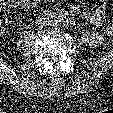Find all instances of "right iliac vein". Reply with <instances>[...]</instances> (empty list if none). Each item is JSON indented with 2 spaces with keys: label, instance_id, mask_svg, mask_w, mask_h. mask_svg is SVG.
<instances>
[{
  "label": "right iliac vein",
  "instance_id": "obj_1",
  "mask_svg": "<svg viewBox=\"0 0 113 113\" xmlns=\"http://www.w3.org/2000/svg\"><path fill=\"white\" fill-rule=\"evenodd\" d=\"M48 26H49V22L48 21H44L43 23H42V25H41V29L42 30H46L47 28H48Z\"/></svg>",
  "mask_w": 113,
  "mask_h": 113
}]
</instances>
